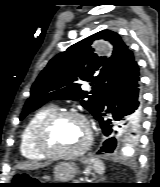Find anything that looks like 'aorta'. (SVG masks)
<instances>
[{"mask_svg": "<svg viewBox=\"0 0 160 187\" xmlns=\"http://www.w3.org/2000/svg\"><path fill=\"white\" fill-rule=\"evenodd\" d=\"M123 155H131L133 153V142L131 139L125 137L122 140V150Z\"/></svg>", "mask_w": 160, "mask_h": 187, "instance_id": "762f6f07", "label": "aorta"}]
</instances>
